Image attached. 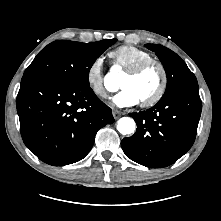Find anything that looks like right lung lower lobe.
I'll use <instances>...</instances> for the list:
<instances>
[{
	"label": "right lung lower lobe",
	"instance_id": "obj_1",
	"mask_svg": "<svg viewBox=\"0 0 221 221\" xmlns=\"http://www.w3.org/2000/svg\"><path fill=\"white\" fill-rule=\"evenodd\" d=\"M16 104L25 145L54 166L83 159L97 131L114 122L89 85L56 77H22Z\"/></svg>",
	"mask_w": 221,
	"mask_h": 221
}]
</instances>
